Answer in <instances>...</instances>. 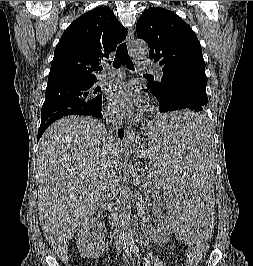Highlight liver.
<instances>
[{"label": "liver", "mask_w": 253, "mask_h": 266, "mask_svg": "<svg viewBox=\"0 0 253 266\" xmlns=\"http://www.w3.org/2000/svg\"><path fill=\"white\" fill-rule=\"evenodd\" d=\"M127 149L120 141L109 142L106 128L90 116L62 118L43 134L39 219L59 258L67 257L69 240L97 211L107 174L117 169Z\"/></svg>", "instance_id": "1"}]
</instances>
